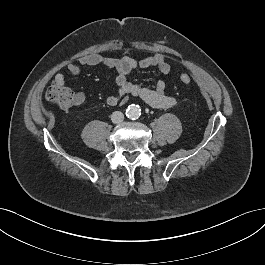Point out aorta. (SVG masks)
Segmentation results:
<instances>
[{"label":"aorta","mask_w":265,"mask_h":265,"mask_svg":"<svg viewBox=\"0 0 265 265\" xmlns=\"http://www.w3.org/2000/svg\"><path fill=\"white\" fill-rule=\"evenodd\" d=\"M141 115V109L138 105L131 104L126 110V116L131 119H136Z\"/></svg>","instance_id":"aorta-1"}]
</instances>
